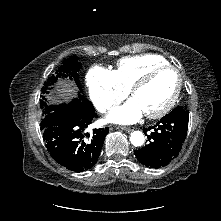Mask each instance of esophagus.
I'll use <instances>...</instances> for the list:
<instances>
[{"instance_id":"34e87169","label":"esophagus","mask_w":221,"mask_h":221,"mask_svg":"<svg viewBox=\"0 0 221 221\" xmlns=\"http://www.w3.org/2000/svg\"><path fill=\"white\" fill-rule=\"evenodd\" d=\"M120 129L124 130V131H127V132H130V131L133 130L131 127H126V126H121Z\"/></svg>"}]
</instances>
